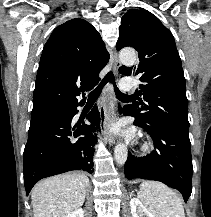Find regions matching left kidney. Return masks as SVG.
I'll return each instance as SVG.
<instances>
[{"instance_id": "1", "label": "left kidney", "mask_w": 211, "mask_h": 217, "mask_svg": "<svg viewBox=\"0 0 211 217\" xmlns=\"http://www.w3.org/2000/svg\"><path fill=\"white\" fill-rule=\"evenodd\" d=\"M130 208L132 217H154V215L145 207V205L138 198H132L130 200Z\"/></svg>"}]
</instances>
